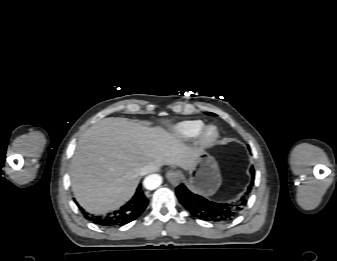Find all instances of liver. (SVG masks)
Masks as SVG:
<instances>
[{
	"instance_id": "6515ba94",
	"label": "liver",
	"mask_w": 337,
	"mask_h": 261,
	"mask_svg": "<svg viewBox=\"0 0 337 261\" xmlns=\"http://www.w3.org/2000/svg\"><path fill=\"white\" fill-rule=\"evenodd\" d=\"M200 150L161 127L109 117L80 137L70 165L71 187L89 213L118 209L134 194L146 165L192 169Z\"/></svg>"
}]
</instances>
